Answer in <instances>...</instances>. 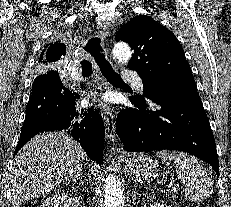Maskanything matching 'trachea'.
<instances>
[{"label": "trachea", "mask_w": 231, "mask_h": 207, "mask_svg": "<svg viewBox=\"0 0 231 207\" xmlns=\"http://www.w3.org/2000/svg\"><path fill=\"white\" fill-rule=\"evenodd\" d=\"M85 50L91 55L94 62L96 64L102 75L112 83H124L120 75H118L112 68L109 61L105 58L103 53V47L101 45V39L99 37H92L88 40ZM82 75L84 77H88L92 74V63L87 60H82Z\"/></svg>", "instance_id": "3493384b"}]
</instances>
